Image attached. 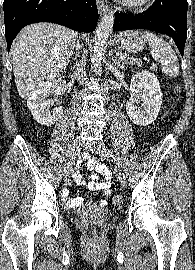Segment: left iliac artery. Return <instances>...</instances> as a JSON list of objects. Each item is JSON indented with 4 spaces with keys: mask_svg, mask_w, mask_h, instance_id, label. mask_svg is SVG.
<instances>
[{
    "mask_svg": "<svg viewBox=\"0 0 195 270\" xmlns=\"http://www.w3.org/2000/svg\"><path fill=\"white\" fill-rule=\"evenodd\" d=\"M110 157L113 158L114 162H116V165L119 166V161L117 160V158L114 156L113 152H111L110 150H108Z\"/></svg>",
    "mask_w": 195,
    "mask_h": 270,
    "instance_id": "left-iliac-artery-1",
    "label": "left iliac artery"
}]
</instances>
